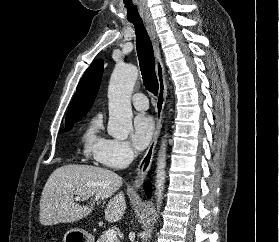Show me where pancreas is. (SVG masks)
<instances>
[{
	"label": "pancreas",
	"instance_id": "pancreas-1",
	"mask_svg": "<svg viewBox=\"0 0 279 242\" xmlns=\"http://www.w3.org/2000/svg\"><path fill=\"white\" fill-rule=\"evenodd\" d=\"M97 242H108L106 234L103 233L97 240ZM113 242H120L119 239H115Z\"/></svg>",
	"mask_w": 279,
	"mask_h": 242
}]
</instances>
